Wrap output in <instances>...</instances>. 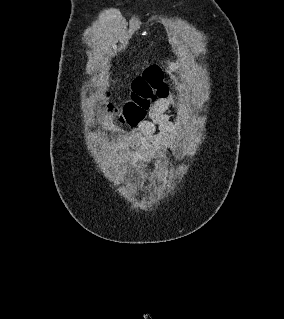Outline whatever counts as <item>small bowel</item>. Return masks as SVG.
I'll return each instance as SVG.
<instances>
[{
  "label": "small bowel",
  "mask_w": 284,
  "mask_h": 319,
  "mask_svg": "<svg viewBox=\"0 0 284 319\" xmlns=\"http://www.w3.org/2000/svg\"><path fill=\"white\" fill-rule=\"evenodd\" d=\"M171 107L180 109L182 103L173 96L158 100L150 111V120L140 122L130 133L128 141L137 163L147 166L157 161L175 141L177 129L168 115Z\"/></svg>",
  "instance_id": "obj_1"
}]
</instances>
